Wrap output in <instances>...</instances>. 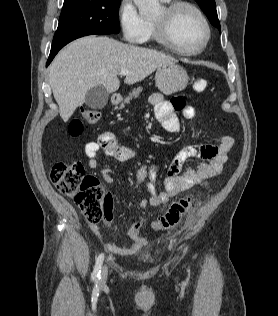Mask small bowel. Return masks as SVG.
I'll return each instance as SVG.
<instances>
[{"mask_svg": "<svg viewBox=\"0 0 278 316\" xmlns=\"http://www.w3.org/2000/svg\"><path fill=\"white\" fill-rule=\"evenodd\" d=\"M150 103L154 106L156 119L167 132L176 133L180 131V122L177 112H181L183 117L188 120L194 119L196 116L195 108L185 104L184 100L180 97L167 101L161 94L155 93L151 95ZM233 144V137L221 135L216 145H194L178 151L169 164L167 175L164 179V192H158L156 189L155 168L147 164L141 165L136 172V178L139 183H143L146 180L148 181L146 190L149 197L142 199L139 202V207L145 208L151 206L156 208L167 203L171 197L192 187L207 185L222 172ZM100 150L118 162L132 160L137 155L133 148L119 144L113 133L105 132L102 133L96 141L88 142L84 147L85 155L88 158V166L92 169L98 167L97 154ZM189 158H197L200 160V163L195 167H189L183 170V165ZM101 175L106 183L113 181L110 168H103ZM113 220V199L110 194H106L103 223L109 228ZM141 228L142 222H134L127 225L126 234L130 242L125 245L105 242V247L112 253L118 255H130L137 252L147 244L146 238L140 233ZM90 229L94 235L103 242V237L98 226L90 224Z\"/></svg>", "mask_w": 278, "mask_h": 316, "instance_id": "1", "label": "small bowel"}]
</instances>
